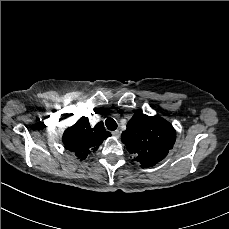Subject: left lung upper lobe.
<instances>
[{"label":"left lung upper lobe","mask_w":229,"mask_h":229,"mask_svg":"<svg viewBox=\"0 0 229 229\" xmlns=\"http://www.w3.org/2000/svg\"><path fill=\"white\" fill-rule=\"evenodd\" d=\"M175 139V129L168 121L141 112L133 115L121 135L126 149L143 168L163 160L173 148Z\"/></svg>","instance_id":"1"}]
</instances>
